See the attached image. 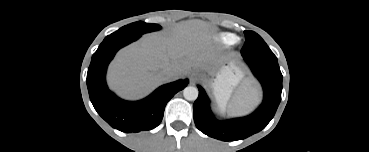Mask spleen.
<instances>
[{
	"instance_id": "spleen-1",
	"label": "spleen",
	"mask_w": 369,
	"mask_h": 152,
	"mask_svg": "<svg viewBox=\"0 0 369 152\" xmlns=\"http://www.w3.org/2000/svg\"><path fill=\"white\" fill-rule=\"evenodd\" d=\"M259 100V92L257 90L251 91L242 96L233 104L230 105V112L233 115L244 114L251 110Z\"/></svg>"
}]
</instances>
